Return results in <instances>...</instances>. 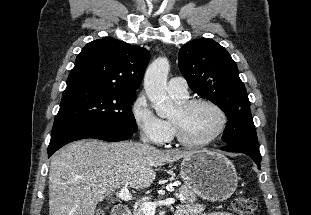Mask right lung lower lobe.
<instances>
[{
	"label": "right lung lower lobe",
	"mask_w": 311,
	"mask_h": 215,
	"mask_svg": "<svg viewBox=\"0 0 311 215\" xmlns=\"http://www.w3.org/2000/svg\"><path fill=\"white\" fill-rule=\"evenodd\" d=\"M135 132L133 131H114V130H73L54 134L48 146V157L55 151L72 141L95 138L104 141H123L130 139Z\"/></svg>",
	"instance_id": "98d812e1"
}]
</instances>
